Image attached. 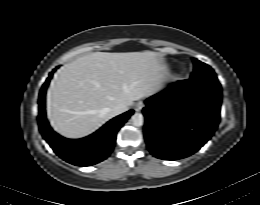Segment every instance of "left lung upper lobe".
I'll list each match as a JSON object with an SVG mask.
<instances>
[{
  "label": "left lung upper lobe",
  "instance_id": "left-lung-upper-lobe-1",
  "mask_svg": "<svg viewBox=\"0 0 260 205\" xmlns=\"http://www.w3.org/2000/svg\"><path fill=\"white\" fill-rule=\"evenodd\" d=\"M194 61V71L191 74L190 79L209 82L213 84H219L216 74L213 69L207 64L200 62L197 59H193Z\"/></svg>",
  "mask_w": 260,
  "mask_h": 205
}]
</instances>
